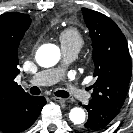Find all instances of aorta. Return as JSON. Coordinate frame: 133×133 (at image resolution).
<instances>
[{
    "label": "aorta",
    "mask_w": 133,
    "mask_h": 133,
    "mask_svg": "<svg viewBox=\"0 0 133 133\" xmlns=\"http://www.w3.org/2000/svg\"><path fill=\"white\" fill-rule=\"evenodd\" d=\"M60 59V49L54 44H45L36 53V61L41 67H52ZM70 120L79 125L85 122L86 114L82 108L74 107L69 112Z\"/></svg>",
    "instance_id": "obj_1"
}]
</instances>
